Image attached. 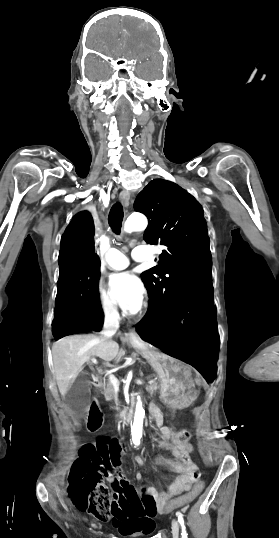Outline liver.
<instances>
[{
	"instance_id": "obj_1",
	"label": "liver",
	"mask_w": 279,
	"mask_h": 538,
	"mask_svg": "<svg viewBox=\"0 0 279 538\" xmlns=\"http://www.w3.org/2000/svg\"><path fill=\"white\" fill-rule=\"evenodd\" d=\"M119 346L116 342H104L97 336H67L54 342L52 346L54 374L62 398L68 388L75 382L83 364L91 356L111 362L118 356Z\"/></svg>"
}]
</instances>
